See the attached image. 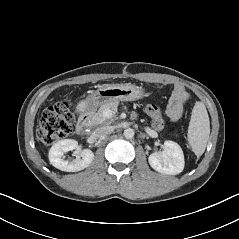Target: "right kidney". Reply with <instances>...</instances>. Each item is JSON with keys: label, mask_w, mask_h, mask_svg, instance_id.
<instances>
[{"label": "right kidney", "mask_w": 239, "mask_h": 239, "mask_svg": "<svg viewBox=\"0 0 239 239\" xmlns=\"http://www.w3.org/2000/svg\"><path fill=\"white\" fill-rule=\"evenodd\" d=\"M78 148V142L72 139H65L55 143L49 151V161L57 169L66 172H78L89 166L94 160V153L89 149L80 152L81 158L74 162L63 159V155L68 151Z\"/></svg>", "instance_id": "ca27d5eb"}]
</instances>
